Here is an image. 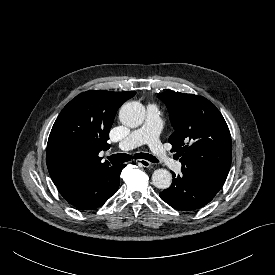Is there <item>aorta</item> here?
<instances>
[{
	"mask_svg": "<svg viewBox=\"0 0 275 275\" xmlns=\"http://www.w3.org/2000/svg\"><path fill=\"white\" fill-rule=\"evenodd\" d=\"M122 124L130 128L140 126L145 119V107L137 101L125 103L119 111ZM172 182V175L166 169H157L152 174V183L156 188L167 189Z\"/></svg>",
	"mask_w": 275,
	"mask_h": 275,
	"instance_id": "1",
	"label": "aorta"
}]
</instances>
